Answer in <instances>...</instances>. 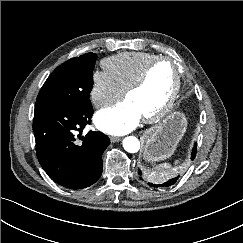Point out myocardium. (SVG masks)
<instances>
[{"instance_id":"f54148a6","label":"myocardium","mask_w":243,"mask_h":243,"mask_svg":"<svg viewBox=\"0 0 243 243\" xmlns=\"http://www.w3.org/2000/svg\"><path fill=\"white\" fill-rule=\"evenodd\" d=\"M161 61H169L174 65L175 81H174V85L172 87L170 94L168 95L166 100L162 103V105L160 107H158L156 110H154L153 112H151L147 115H144L145 119L148 121H153V120H156V119L160 118L161 116H163L169 110V108L172 106L173 102L175 101L177 94L181 87V72H180V67H179L178 62L174 58L169 57V56H157L156 58L151 60L149 63H147V65L144 67V69L141 71V73L137 76V78H135L124 90V94L127 97L132 91L140 88L147 80L152 67Z\"/></svg>"}]
</instances>
